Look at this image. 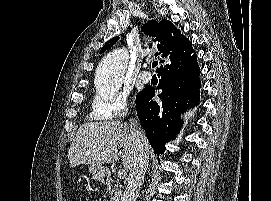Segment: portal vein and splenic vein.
Listing matches in <instances>:
<instances>
[{
  "instance_id": "18ae733b",
  "label": "portal vein and splenic vein",
  "mask_w": 271,
  "mask_h": 201,
  "mask_svg": "<svg viewBox=\"0 0 271 201\" xmlns=\"http://www.w3.org/2000/svg\"><path fill=\"white\" fill-rule=\"evenodd\" d=\"M126 177V171L125 170H119L118 171V178L124 179Z\"/></svg>"
}]
</instances>
